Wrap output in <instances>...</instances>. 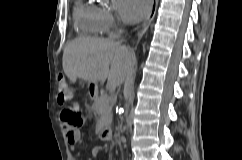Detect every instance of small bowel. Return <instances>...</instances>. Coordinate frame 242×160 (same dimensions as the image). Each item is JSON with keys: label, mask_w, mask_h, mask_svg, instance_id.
<instances>
[{"label": "small bowel", "mask_w": 242, "mask_h": 160, "mask_svg": "<svg viewBox=\"0 0 242 160\" xmlns=\"http://www.w3.org/2000/svg\"><path fill=\"white\" fill-rule=\"evenodd\" d=\"M72 108L77 109V107L75 106H72ZM61 117L65 121V133H66L68 142L71 145L76 144L80 139L79 130H77L76 127H73L70 123L67 122L66 118L64 117V111H62Z\"/></svg>", "instance_id": "obj_1"}]
</instances>
